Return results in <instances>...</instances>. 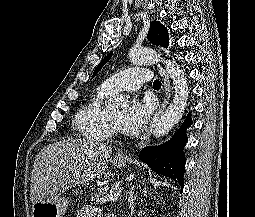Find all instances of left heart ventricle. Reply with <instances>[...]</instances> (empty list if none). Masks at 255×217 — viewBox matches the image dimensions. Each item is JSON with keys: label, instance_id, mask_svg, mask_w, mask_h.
Returning a JSON list of instances; mask_svg holds the SVG:
<instances>
[{"label": "left heart ventricle", "instance_id": "1", "mask_svg": "<svg viewBox=\"0 0 255 217\" xmlns=\"http://www.w3.org/2000/svg\"><path fill=\"white\" fill-rule=\"evenodd\" d=\"M124 114H125L124 111H117V112L111 113L110 115L113 118V120L117 123V125L119 126Z\"/></svg>", "mask_w": 255, "mask_h": 217}]
</instances>
